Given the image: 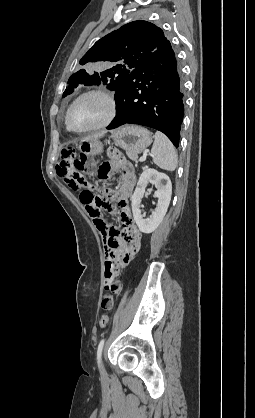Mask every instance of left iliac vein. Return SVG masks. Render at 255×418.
I'll return each mask as SVG.
<instances>
[{
    "label": "left iliac vein",
    "instance_id": "1",
    "mask_svg": "<svg viewBox=\"0 0 255 418\" xmlns=\"http://www.w3.org/2000/svg\"><path fill=\"white\" fill-rule=\"evenodd\" d=\"M100 371H101L102 374H104V372H105L103 363L101 361H100Z\"/></svg>",
    "mask_w": 255,
    "mask_h": 418
}]
</instances>
